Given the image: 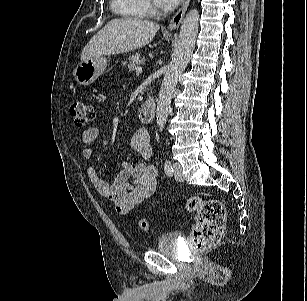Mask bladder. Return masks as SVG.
Segmentation results:
<instances>
[{"label": "bladder", "mask_w": 307, "mask_h": 301, "mask_svg": "<svg viewBox=\"0 0 307 301\" xmlns=\"http://www.w3.org/2000/svg\"><path fill=\"white\" fill-rule=\"evenodd\" d=\"M178 237L176 232L162 234L156 239L153 249L167 256L177 257L180 251Z\"/></svg>", "instance_id": "bladder-1"}]
</instances>
